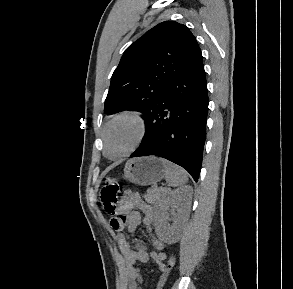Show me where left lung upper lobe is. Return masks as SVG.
Segmentation results:
<instances>
[{
  "instance_id": "obj_1",
  "label": "left lung upper lobe",
  "mask_w": 293,
  "mask_h": 289,
  "mask_svg": "<svg viewBox=\"0 0 293 289\" xmlns=\"http://www.w3.org/2000/svg\"><path fill=\"white\" fill-rule=\"evenodd\" d=\"M201 54L190 30L175 21L159 23L131 44L111 77L105 111L143 114Z\"/></svg>"
}]
</instances>
